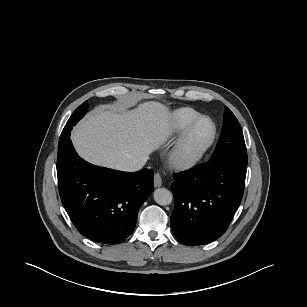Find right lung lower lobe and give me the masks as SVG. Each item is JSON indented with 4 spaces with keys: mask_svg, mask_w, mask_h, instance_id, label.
Returning <instances> with one entry per match:
<instances>
[{
    "mask_svg": "<svg viewBox=\"0 0 307 307\" xmlns=\"http://www.w3.org/2000/svg\"><path fill=\"white\" fill-rule=\"evenodd\" d=\"M57 177L62 204L77 230L105 244L126 240L154 190L151 169L127 173L92 165L78 156L69 136L58 150Z\"/></svg>",
    "mask_w": 307,
    "mask_h": 307,
    "instance_id": "1",
    "label": "right lung lower lobe"
}]
</instances>
